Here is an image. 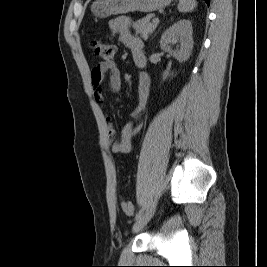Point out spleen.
Segmentation results:
<instances>
[{"label": "spleen", "instance_id": "spleen-1", "mask_svg": "<svg viewBox=\"0 0 267 267\" xmlns=\"http://www.w3.org/2000/svg\"><path fill=\"white\" fill-rule=\"evenodd\" d=\"M197 6L196 0H179L178 11L190 12Z\"/></svg>", "mask_w": 267, "mask_h": 267}]
</instances>
